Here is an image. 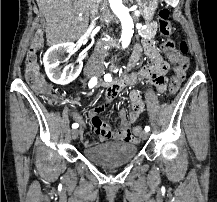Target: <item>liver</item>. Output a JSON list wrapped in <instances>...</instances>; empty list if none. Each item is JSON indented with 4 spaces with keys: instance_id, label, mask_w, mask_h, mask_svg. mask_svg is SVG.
<instances>
[{
    "instance_id": "liver-1",
    "label": "liver",
    "mask_w": 217,
    "mask_h": 202,
    "mask_svg": "<svg viewBox=\"0 0 217 202\" xmlns=\"http://www.w3.org/2000/svg\"><path fill=\"white\" fill-rule=\"evenodd\" d=\"M46 20L48 46L74 42L89 24V0H36ZM82 20H78V18Z\"/></svg>"
}]
</instances>
